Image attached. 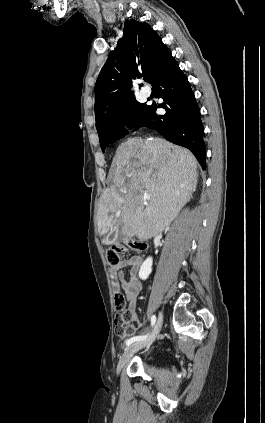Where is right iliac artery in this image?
<instances>
[{
	"label": "right iliac artery",
	"instance_id": "82829eb1",
	"mask_svg": "<svg viewBox=\"0 0 265 423\" xmlns=\"http://www.w3.org/2000/svg\"><path fill=\"white\" fill-rule=\"evenodd\" d=\"M155 322H156V316L153 315L151 317V325H152V327L155 325ZM148 336H149V333L146 334V335L134 336V337H132V338H130V339H128L126 341V345L129 346L133 342L145 340Z\"/></svg>",
	"mask_w": 265,
	"mask_h": 423
}]
</instances>
